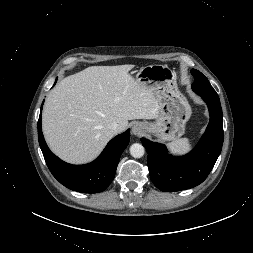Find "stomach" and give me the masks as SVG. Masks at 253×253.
Listing matches in <instances>:
<instances>
[{
  "label": "stomach",
  "instance_id": "obj_1",
  "mask_svg": "<svg viewBox=\"0 0 253 253\" xmlns=\"http://www.w3.org/2000/svg\"><path fill=\"white\" fill-rule=\"evenodd\" d=\"M136 81L151 89L158 100L159 115L153 122H143L145 131L161 141H175L185 133L191 116L186 97L178 90L173 71L164 65L140 68Z\"/></svg>",
  "mask_w": 253,
  "mask_h": 253
}]
</instances>
